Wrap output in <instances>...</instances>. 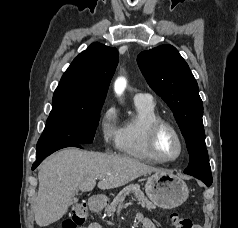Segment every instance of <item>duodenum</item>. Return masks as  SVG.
Instances as JSON below:
<instances>
[{"instance_id":"obj_1","label":"duodenum","mask_w":238,"mask_h":228,"mask_svg":"<svg viewBox=\"0 0 238 228\" xmlns=\"http://www.w3.org/2000/svg\"><path fill=\"white\" fill-rule=\"evenodd\" d=\"M89 204L93 210L101 211L107 205V199H106V197H104L102 195H96V196L92 197Z\"/></svg>"}]
</instances>
